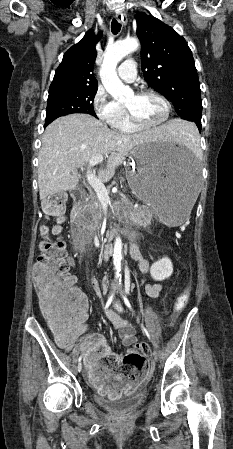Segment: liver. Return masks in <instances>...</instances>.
Segmentation results:
<instances>
[{
    "label": "liver",
    "mask_w": 233,
    "mask_h": 449,
    "mask_svg": "<svg viewBox=\"0 0 233 449\" xmlns=\"http://www.w3.org/2000/svg\"><path fill=\"white\" fill-rule=\"evenodd\" d=\"M178 131L177 120L139 134L126 135L109 129L88 114L60 117L48 125L42 137L38 166L40 199L73 190L79 182L76 169L86 166L94 156L108 157L99 171V179L107 182L137 145L170 142Z\"/></svg>",
    "instance_id": "6515ba94"
}]
</instances>
